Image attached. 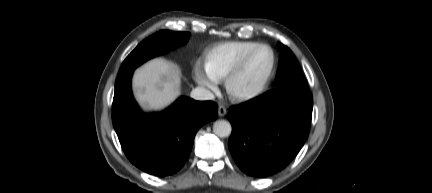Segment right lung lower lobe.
Here are the masks:
<instances>
[{"instance_id": "1", "label": "right lung lower lobe", "mask_w": 432, "mask_h": 193, "mask_svg": "<svg viewBox=\"0 0 432 193\" xmlns=\"http://www.w3.org/2000/svg\"><path fill=\"white\" fill-rule=\"evenodd\" d=\"M133 71L118 76L112 122L127 158L155 175L176 173L186 162L198 129L217 118L218 106L180 97L161 113L144 114L131 91Z\"/></svg>"}]
</instances>
